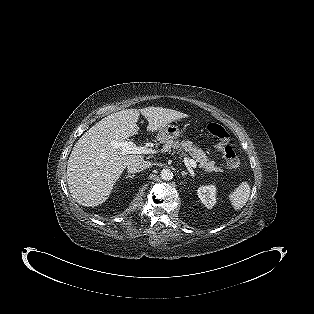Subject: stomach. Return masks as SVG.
Instances as JSON below:
<instances>
[{
	"label": "stomach",
	"instance_id": "stomach-1",
	"mask_svg": "<svg viewBox=\"0 0 314 314\" xmlns=\"http://www.w3.org/2000/svg\"><path fill=\"white\" fill-rule=\"evenodd\" d=\"M181 136V132L178 126L175 125H166L158 130L157 138L160 142H165L166 140H174Z\"/></svg>",
	"mask_w": 314,
	"mask_h": 314
}]
</instances>
